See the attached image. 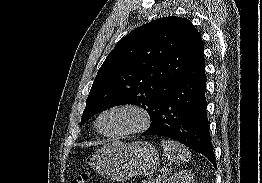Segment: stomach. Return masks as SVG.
Masks as SVG:
<instances>
[{"label":"stomach","instance_id":"stomach-1","mask_svg":"<svg viewBox=\"0 0 262 183\" xmlns=\"http://www.w3.org/2000/svg\"><path fill=\"white\" fill-rule=\"evenodd\" d=\"M93 170L113 181L154 172L159 165L157 149L149 142L111 141L98 149L89 162Z\"/></svg>","mask_w":262,"mask_h":183}]
</instances>
